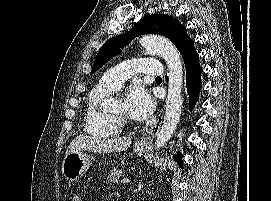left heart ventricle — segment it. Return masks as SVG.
Segmentation results:
<instances>
[{
    "instance_id": "obj_1",
    "label": "left heart ventricle",
    "mask_w": 271,
    "mask_h": 201,
    "mask_svg": "<svg viewBox=\"0 0 271 201\" xmlns=\"http://www.w3.org/2000/svg\"><path fill=\"white\" fill-rule=\"evenodd\" d=\"M113 112L128 116L123 100H118L115 103L114 108H113Z\"/></svg>"
}]
</instances>
